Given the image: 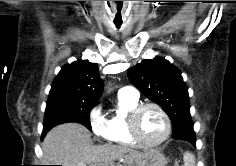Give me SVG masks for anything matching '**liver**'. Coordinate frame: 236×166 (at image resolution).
I'll return each mask as SVG.
<instances>
[{"label": "liver", "mask_w": 236, "mask_h": 166, "mask_svg": "<svg viewBox=\"0 0 236 166\" xmlns=\"http://www.w3.org/2000/svg\"><path fill=\"white\" fill-rule=\"evenodd\" d=\"M43 163L62 166H114L138 162L144 153L121 145H93L89 130L78 123L52 128L42 143Z\"/></svg>", "instance_id": "1"}]
</instances>
